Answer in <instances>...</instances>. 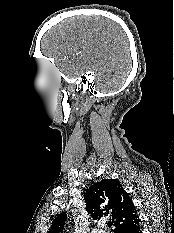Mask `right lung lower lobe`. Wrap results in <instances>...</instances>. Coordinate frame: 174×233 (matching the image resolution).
<instances>
[{
    "instance_id": "98d812e1",
    "label": "right lung lower lobe",
    "mask_w": 174,
    "mask_h": 233,
    "mask_svg": "<svg viewBox=\"0 0 174 233\" xmlns=\"http://www.w3.org/2000/svg\"><path fill=\"white\" fill-rule=\"evenodd\" d=\"M128 233H142V232H141L140 225H138V226L135 227L134 229L128 231Z\"/></svg>"
}]
</instances>
